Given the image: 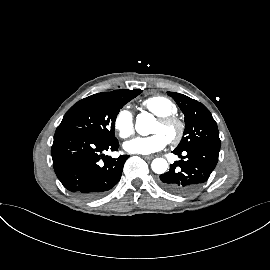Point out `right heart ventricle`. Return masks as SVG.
<instances>
[{
    "mask_svg": "<svg viewBox=\"0 0 270 270\" xmlns=\"http://www.w3.org/2000/svg\"><path fill=\"white\" fill-rule=\"evenodd\" d=\"M141 104L157 117L176 115L178 112L175 103L165 96H152L143 100Z\"/></svg>",
    "mask_w": 270,
    "mask_h": 270,
    "instance_id": "obj_1",
    "label": "right heart ventricle"
}]
</instances>
